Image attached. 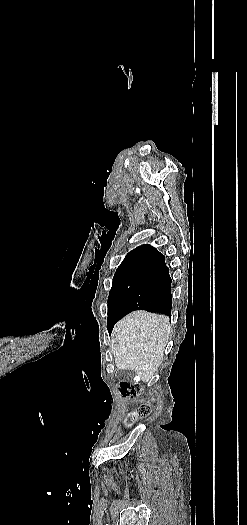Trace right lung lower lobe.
<instances>
[{"label":"right lung lower lobe","mask_w":247,"mask_h":525,"mask_svg":"<svg viewBox=\"0 0 247 525\" xmlns=\"http://www.w3.org/2000/svg\"><path fill=\"white\" fill-rule=\"evenodd\" d=\"M171 308V278L169 268L165 264V257L161 254L156 257L149 270L123 302L118 320L131 311L140 309L170 315ZM114 325L107 327L109 332Z\"/></svg>","instance_id":"obj_1"}]
</instances>
